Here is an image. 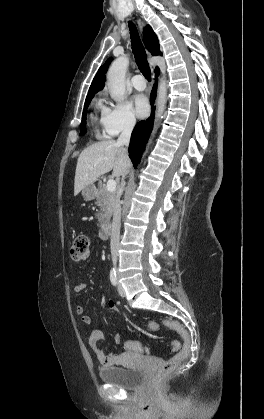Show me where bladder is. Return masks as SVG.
<instances>
[{
    "mask_svg": "<svg viewBox=\"0 0 264 419\" xmlns=\"http://www.w3.org/2000/svg\"><path fill=\"white\" fill-rule=\"evenodd\" d=\"M100 379L123 389L139 387L145 378V371L137 367H107L99 370Z\"/></svg>",
    "mask_w": 264,
    "mask_h": 419,
    "instance_id": "bladder-1",
    "label": "bladder"
}]
</instances>
